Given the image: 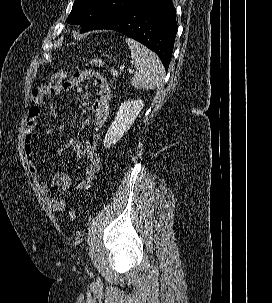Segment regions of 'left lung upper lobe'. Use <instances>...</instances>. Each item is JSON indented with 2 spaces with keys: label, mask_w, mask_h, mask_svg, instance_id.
<instances>
[{
  "label": "left lung upper lobe",
  "mask_w": 272,
  "mask_h": 303,
  "mask_svg": "<svg viewBox=\"0 0 272 303\" xmlns=\"http://www.w3.org/2000/svg\"><path fill=\"white\" fill-rule=\"evenodd\" d=\"M140 0H76L68 22L82 25L81 33L94 30L109 18Z\"/></svg>",
  "instance_id": "left-lung-upper-lobe-1"
}]
</instances>
